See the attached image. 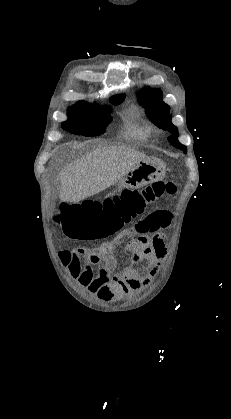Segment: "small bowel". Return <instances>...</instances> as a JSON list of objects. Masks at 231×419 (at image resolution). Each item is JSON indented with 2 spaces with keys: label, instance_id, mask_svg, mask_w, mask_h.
Returning <instances> with one entry per match:
<instances>
[{
  "label": "small bowel",
  "instance_id": "obj_1",
  "mask_svg": "<svg viewBox=\"0 0 231 419\" xmlns=\"http://www.w3.org/2000/svg\"><path fill=\"white\" fill-rule=\"evenodd\" d=\"M170 222L169 211L152 213L97 248L62 251V263L90 294L102 301L120 300L146 288L158 274L167 255L166 239L159 229ZM122 244L129 257L128 264L119 268L113 253ZM138 264L149 269V274L144 275Z\"/></svg>",
  "mask_w": 231,
  "mask_h": 419
}]
</instances>
